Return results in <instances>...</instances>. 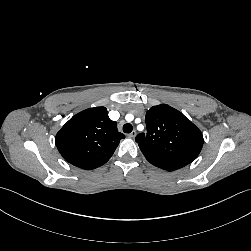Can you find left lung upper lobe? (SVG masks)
<instances>
[{
	"mask_svg": "<svg viewBox=\"0 0 251 251\" xmlns=\"http://www.w3.org/2000/svg\"><path fill=\"white\" fill-rule=\"evenodd\" d=\"M147 132L135 140L154 166L174 171L191 163L203 146L201 131L181 112L163 104L146 113Z\"/></svg>",
	"mask_w": 251,
	"mask_h": 251,
	"instance_id": "left-lung-upper-lobe-1",
	"label": "left lung upper lobe"
}]
</instances>
